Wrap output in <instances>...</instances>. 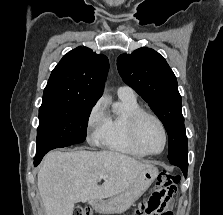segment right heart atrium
I'll use <instances>...</instances> for the list:
<instances>
[{"instance_id":"right-heart-atrium-1","label":"right heart atrium","mask_w":223,"mask_h":215,"mask_svg":"<svg viewBox=\"0 0 223 215\" xmlns=\"http://www.w3.org/2000/svg\"><path fill=\"white\" fill-rule=\"evenodd\" d=\"M106 120L105 107L101 101H97L92 106L86 123V128L92 131L93 141H98L101 132L106 126Z\"/></svg>"}]
</instances>
